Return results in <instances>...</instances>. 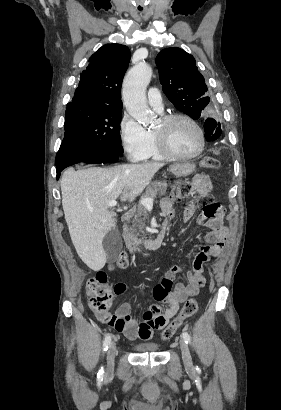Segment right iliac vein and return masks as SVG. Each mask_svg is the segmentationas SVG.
<instances>
[{"mask_svg":"<svg viewBox=\"0 0 281 410\" xmlns=\"http://www.w3.org/2000/svg\"><path fill=\"white\" fill-rule=\"evenodd\" d=\"M116 353V344L115 342L110 343L108 352H107V369L106 375H111L114 370V359Z\"/></svg>","mask_w":281,"mask_h":410,"instance_id":"63e3f726","label":"right iliac vein"}]
</instances>
